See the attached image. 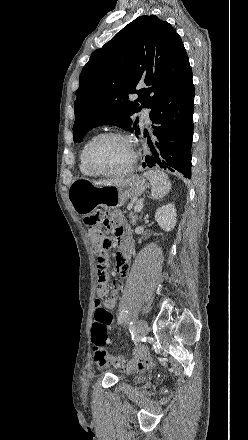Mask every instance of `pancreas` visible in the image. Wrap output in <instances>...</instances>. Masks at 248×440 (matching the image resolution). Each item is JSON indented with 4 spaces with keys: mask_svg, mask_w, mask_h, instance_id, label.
Here are the masks:
<instances>
[{
    "mask_svg": "<svg viewBox=\"0 0 248 440\" xmlns=\"http://www.w3.org/2000/svg\"><path fill=\"white\" fill-rule=\"evenodd\" d=\"M129 221H130V223L132 224V225H136V223H137V214L136 213H134V212H130L129 213Z\"/></svg>",
    "mask_w": 248,
    "mask_h": 440,
    "instance_id": "pancreas-1",
    "label": "pancreas"
}]
</instances>
